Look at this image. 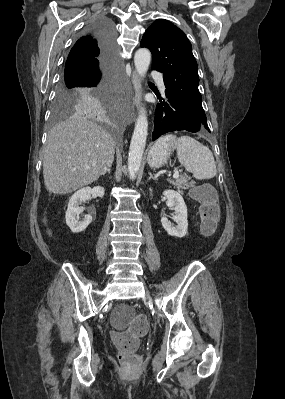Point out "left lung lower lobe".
Instances as JSON below:
<instances>
[{"mask_svg":"<svg viewBox=\"0 0 285 399\" xmlns=\"http://www.w3.org/2000/svg\"><path fill=\"white\" fill-rule=\"evenodd\" d=\"M160 104L155 111L153 141L161 135L186 130L204 133L207 129L175 96L165 93V98L158 97Z\"/></svg>","mask_w":285,"mask_h":399,"instance_id":"obj_1","label":"left lung lower lobe"}]
</instances>
